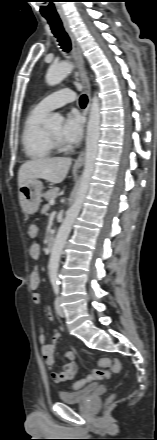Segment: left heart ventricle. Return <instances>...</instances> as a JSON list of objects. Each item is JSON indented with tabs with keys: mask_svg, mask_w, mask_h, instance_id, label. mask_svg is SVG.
<instances>
[{
	"mask_svg": "<svg viewBox=\"0 0 157 440\" xmlns=\"http://www.w3.org/2000/svg\"><path fill=\"white\" fill-rule=\"evenodd\" d=\"M49 131L54 137L59 138V139L61 138L60 137V135H61V128L60 127L51 128V129H49Z\"/></svg>",
	"mask_w": 157,
	"mask_h": 440,
	"instance_id": "obj_1",
	"label": "left heart ventricle"
}]
</instances>
